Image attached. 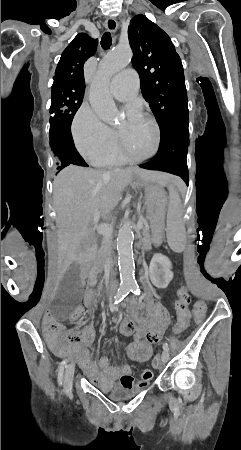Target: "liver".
<instances>
[{
  "instance_id": "6515ba94",
  "label": "liver",
  "mask_w": 241,
  "mask_h": 450,
  "mask_svg": "<svg viewBox=\"0 0 241 450\" xmlns=\"http://www.w3.org/2000/svg\"><path fill=\"white\" fill-rule=\"evenodd\" d=\"M156 182L168 186L177 182L176 176L150 172L140 168L125 170H93L68 166L53 182V200L57 212L58 276L62 278L72 264L84 266L95 258L94 224L97 218H108L117 206L124 188L133 182Z\"/></svg>"
}]
</instances>
